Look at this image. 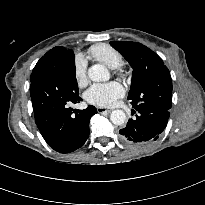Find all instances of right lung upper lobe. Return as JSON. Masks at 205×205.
<instances>
[{
	"mask_svg": "<svg viewBox=\"0 0 205 205\" xmlns=\"http://www.w3.org/2000/svg\"><path fill=\"white\" fill-rule=\"evenodd\" d=\"M69 50L64 47H54L53 49L49 50L36 64L33 69L31 79L38 75V66L44 62H50L54 65L57 63L58 59L64 56Z\"/></svg>",
	"mask_w": 205,
	"mask_h": 205,
	"instance_id": "obj_1",
	"label": "right lung upper lobe"
}]
</instances>
